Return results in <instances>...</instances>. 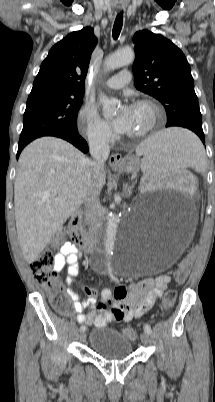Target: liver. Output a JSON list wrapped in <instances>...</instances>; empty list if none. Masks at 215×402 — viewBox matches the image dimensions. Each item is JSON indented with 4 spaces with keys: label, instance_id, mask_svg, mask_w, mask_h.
<instances>
[{
    "label": "liver",
    "instance_id": "liver-1",
    "mask_svg": "<svg viewBox=\"0 0 215 402\" xmlns=\"http://www.w3.org/2000/svg\"><path fill=\"white\" fill-rule=\"evenodd\" d=\"M105 181L103 168L98 176L100 190ZM91 182L90 160L70 143L42 137L24 148L14 182V203L18 240L28 263L37 259L86 201Z\"/></svg>",
    "mask_w": 215,
    "mask_h": 402
}]
</instances>
